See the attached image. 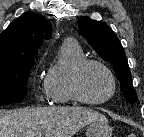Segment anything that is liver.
Wrapping results in <instances>:
<instances>
[{
	"mask_svg": "<svg viewBox=\"0 0 144 137\" xmlns=\"http://www.w3.org/2000/svg\"><path fill=\"white\" fill-rule=\"evenodd\" d=\"M95 121H107V118L85 107L0 110V137H72Z\"/></svg>",
	"mask_w": 144,
	"mask_h": 137,
	"instance_id": "1",
	"label": "liver"
}]
</instances>
